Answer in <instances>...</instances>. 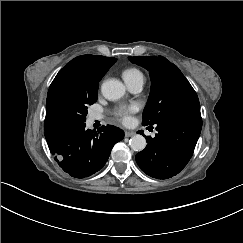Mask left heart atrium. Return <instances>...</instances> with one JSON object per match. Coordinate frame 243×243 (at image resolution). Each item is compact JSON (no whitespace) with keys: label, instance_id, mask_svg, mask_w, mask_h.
<instances>
[{"label":"left heart atrium","instance_id":"1","mask_svg":"<svg viewBox=\"0 0 243 243\" xmlns=\"http://www.w3.org/2000/svg\"><path fill=\"white\" fill-rule=\"evenodd\" d=\"M140 106L136 102L123 104L115 107L112 114L121 121H129L131 116L139 110Z\"/></svg>","mask_w":243,"mask_h":243}]
</instances>
